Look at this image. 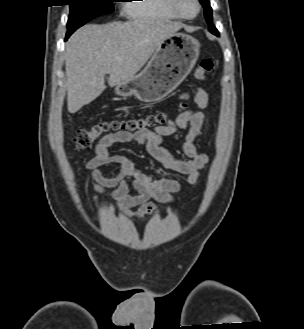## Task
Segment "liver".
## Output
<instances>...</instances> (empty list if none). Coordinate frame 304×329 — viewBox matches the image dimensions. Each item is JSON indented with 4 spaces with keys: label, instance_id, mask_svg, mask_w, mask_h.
I'll return each instance as SVG.
<instances>
[{
    "label": "liver",
    "instance_id": "6515ba94",
    "mask_svg": "<svg viewBox=\"0 0 304 329\" xmlns=\"http://www.w3.org/2000/svg\"><path fill=\"white\" fill-rule=\"evenodd\" d=\"M181 28L175 22L139 19L78 29L65 51L69 113H76L101 95L106 74L111 87L133 79L159 44Z\"/></svg>",
    "mask_w": 304,
    "mask_h": 329
}]
</instances>
